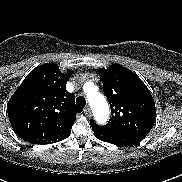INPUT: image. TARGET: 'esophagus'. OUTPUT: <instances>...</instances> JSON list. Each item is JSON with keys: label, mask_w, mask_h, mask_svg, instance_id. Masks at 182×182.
Returning a JSON list of instances; mask_svg holds the SVG:
<instances>
[{"label": "esophagus", "mask_w": 182, "mask_h": 182, "mask_svg": "<svg viewBox=\"0 0 182 182\" xmlns=\"http://www.w3.org/2000/svg\"><path fill=\"white\" fill-rule=\"evenodd\" d=\"M84 113L87 117H91L92 116V113H91V109L89 106H87L85 109H84Z\"/></svg>", "instance_id": "1"}]
</instances>
